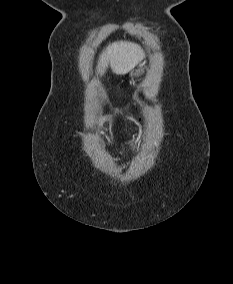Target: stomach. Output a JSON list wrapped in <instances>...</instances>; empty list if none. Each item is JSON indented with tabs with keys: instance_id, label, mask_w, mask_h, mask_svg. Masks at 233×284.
Instances as JSON below:
<instances>
[{
	"instance_id": "1",
	"label": "stomach",
	"mask_w": 233,
	"mask_h": 284,
	"mask_svg": "<svg viewBox=\"0 0 233 284\" xmlns=\"http://www.w3.org/2000/svg\"><path fill=\"white\" fill-rule=\"evenodd\" d=\"M143 73H144V67H143V65H140V66L138 67V69H136L135 71H133V72L131 73V76H132L133 78H139V77H141V76L143 75Z\"/></svg>"
}]
</instances>
